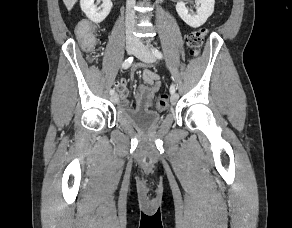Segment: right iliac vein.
<instances>
[{
  "label": "right iliac vein",
  "mask_w": 292,
  "mask_h": 228,
  "mask_svg": "<svg viewBox=\"0 0 292 228\" xmlns=\"http://www.w3.org/2000/svg\"><path fill=\"white\" fill-rule=\"evenodd\" d=\"M137 45L135 42L133 41H127L126 43V51L129 55L133 54L136 51ZM111 100L116 103L118 101V95L117 94H113L111 96Z\"/></svg>",
  "instance_id": "63e3f726"
}]
</instances>
